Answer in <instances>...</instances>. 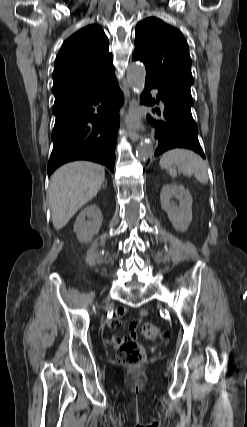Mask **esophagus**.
I'll use <instances>...</instances> for the list:
<instances>
[{"label": "esophagus", "mask_w": 247, "mask_h": 427, "mask_svg": "<svg viewBox=\"0 0 247 427\" xmlns=\"http://www.w3.org/2000/svg\"><path fill=\"white\" fill-rule=\"evenodd\" d=\"M139 103L135 98H132L129 103V116L132 118L134 111L137 109ZM128 129H129V138L132 141H138L142 136L139 134V132L136 130L135 126L131 121L128 123Z\"/></svg>", "instance_id": "esophagus-1"}]
</instances>
